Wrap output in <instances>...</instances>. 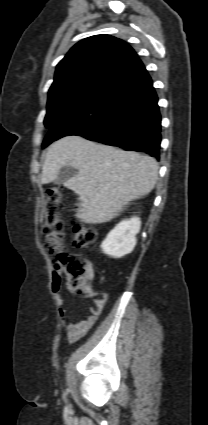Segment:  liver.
<instances>
[{
  "label": "liver",
  "instance_id": "obj_1",
  "mask_svg": "<svg viewBox=\"0 0 208 425\" xmlns=\"http://www.w3.org/2000/svg\"><path fill=\"white\" fill-rule=\"evenodd\" d=\"M77 174L64 186L79 196L76 217L99 224L112 220L130 201L146 196L155 186L158 163L147 155L66 136L48 149L41 183L54 181L65 167Z\"/></svg>",
  "mask_w": 208,
  "mask_h": 425
}]
</instances>
